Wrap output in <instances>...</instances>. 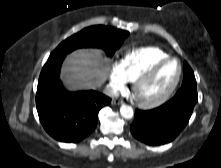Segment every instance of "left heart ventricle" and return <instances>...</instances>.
<instances>
[{
    "label": "left heart ventricle",
    "instance_id": "1",
    "mask_svg": "<svg viewBox=\"0 0 221 168\" xmlns=\"http://www.w3.org/2000/svg\"><path fill=\"white\" fill-rule=\"evenodd\" d=\"M178 71L176 62H169L161 67L153 78L141 89L143 97L152 98L162 93L175 79Z\"/></svg>",
    "mask_w": 221,
    "mask_h": 168
}]
</instances>
